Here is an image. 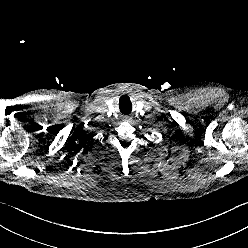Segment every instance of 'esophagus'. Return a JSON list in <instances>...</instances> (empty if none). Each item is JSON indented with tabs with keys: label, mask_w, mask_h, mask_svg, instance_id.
<instances>
[{
	"label": "esophagus",
	"mask_w": 248,
	"mask_h": 248,
	"mask_svg": "<svg viewBox=\"0 0 248 248\" xmlns=\"http://www.w3.org/2000/svg\"><path fill=\"white\" fill-rule=\"evenodd\" d=\"M126 120L128 121V120H130L128 117H126Z\"/></svg>",
	"instance_id": "obj_1"
}]
</instances>
